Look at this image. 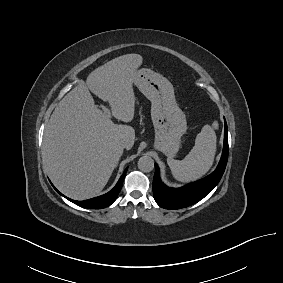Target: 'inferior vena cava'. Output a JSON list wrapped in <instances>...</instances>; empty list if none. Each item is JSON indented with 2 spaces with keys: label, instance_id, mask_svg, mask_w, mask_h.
I'll return each instance as SVG.
<instances>
[{
  "label": "inferior vena cava",
  "instance_id": "1",
  "mask_svg": "<svg viewBox=\"0 0 283 283\" xmlns=\"http://www.w3.org/2000/svg\"><path fill=\"white\" fill-rule=\"evenodd\" d=\"M120 146H121V148H127V143L126 142H121Z\"/></svg>",
  "mask_w": 283,
  "mask_h": 283
}]
</instances>
